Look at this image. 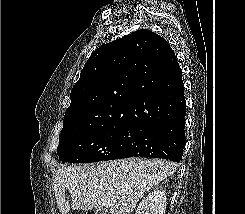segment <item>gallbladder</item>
<instances>
[{"label": "gallbladder", "mask_w": 245, "mask_h": 214, "mask_svg": "<svg viewBox=\"0 0 245 214\" xmlns=\"http://www.w3.org/2000/svg\"><path fill=\"white\" fill-rule=\"evenodd\" d=\"M108 210L106 208H98L95 210L94 214H107Z\"/></svg>", "instance_id": "obj_1"}]
</instances>
